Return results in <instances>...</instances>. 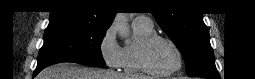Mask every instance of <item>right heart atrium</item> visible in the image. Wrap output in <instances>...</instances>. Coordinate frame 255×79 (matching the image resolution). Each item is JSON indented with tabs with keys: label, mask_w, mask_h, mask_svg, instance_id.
Masks as SVG:
<instances>
[{
	"label": "right heart atrium",
	"mask_w": 255,
	"mask_h": 79,
	"mask_svg": "<svg viewBox=\"0 0 255 79\" xmlns=\"http://www.w3.org/2000/svg\"><path fill=\"white\" fill-rule=\"evenodd\" d=\"M99 53L106 66L119 69L122 66V47L116 40L113 27H108L99 42Z\"/></svg>",
	"instance_id": "right-heart-atrium-1"
}]
</instances>
